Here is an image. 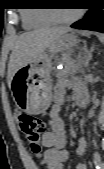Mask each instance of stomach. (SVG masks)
<instances>
[{"mask_svg":"<svg viewBox=\"0 0 104 169\" xmlns=\"http://www.w3.org/2000/svg\"><path fill=\"white\" fill-rule=\"evenodd\" d=\"M78 42L75 32L65 33L33 62L27 63L14 74L10 89L20 111L37 115L49 108L52 99L53 59L59 52L74 47Z\"/></svg>","mask_w":104,"mask_h":169,"instance_id":"0dacf381","label":"stomach"}]
</instances>
